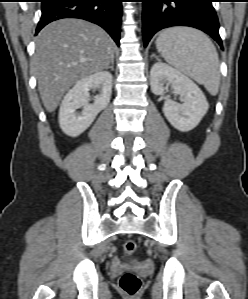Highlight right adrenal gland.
<instances>
[{
    "mask_svg": "<svg viewBox=\"0 0 248 299\" xmlns=\"http://www.w3.org/2000/svg\"><path fill=\"white\" fill-rule=\"evenodd\" d=\"M111 69L112 71L114 70V60H112L111 65L106 68V70Z\"/></svg>",
    "mask_w": 248,
    "mask_h": 299,
    "instance_id": "right-adrenal-gland-1",
    "label": "right adrenal gland"
}]
</instances>
